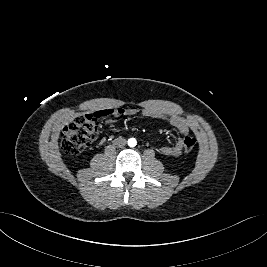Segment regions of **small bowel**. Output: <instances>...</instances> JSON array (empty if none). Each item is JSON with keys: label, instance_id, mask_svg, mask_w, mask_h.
Instances as JSON below:
<instances>
[{"label": "small bowel", "instance_id": "small-bowel-1", "mask_svg": "<svg viewBox=\"0 0 267 267\" xmlns=\"http://www.w3.org/2000/svg\"><path fill=\"white\" fill-rule=\"evenodd\" d=\"M96 113H99L100 115H102V117L108 118L109 121H113L122 115L133 116L139 113L143 117L158 119V120H165L169 122L182 135V137L179 138L173 145H170V146L165 145L159 148V152L162 155L169 156V157L171 156L175 157L181 154L183 150V137L187 135L191 130L190 123L184 118L178 115L168 114L164 111H161L155 108L146 107L140 110L135 109V108H128L126 110L118 109V108L103 109V110L97 111Z\"/></svg>", "mask_w": 267, "mask_h": 267}]
</instances>
